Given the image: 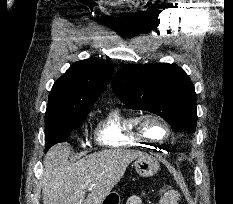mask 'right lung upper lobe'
I'll return each instance as SVG.
<instances>
[{
  "mask_svg": "<svg viewBox=\"0 0 233 204\" xmlns=\"http://www.w3.org/2000/svg\"><path fill=\"white\" fill-rule=\"evenodd\" d=\"M113 72V65L94 58L78 61L53 85L45 121L89 111L102 94Z\"/></svg>",
  "mask_w": 233,
  "mask_h": 204,
  "instance_id": "1",
  "label": "right lung upper lobe"
}]
</instances>
